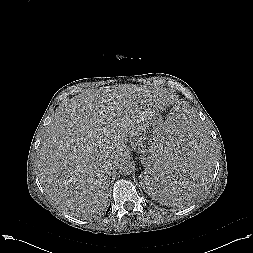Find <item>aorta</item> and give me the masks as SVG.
Instances as JSON below:
<instances>
[{"label":"aorta","mask_w":253,"mask_h":253,"mask_svg":"<svg viewBox=\"0 0 253 253\" xmlns=\"http://www.w3.org/2000/svg\"><path fill=\"white\" fill-rule=\"evenodd\" d=\"M119 173L121 175L127 176L130 175L135 170L134 162L130 159H123L121 160L120 164L118 165Z\"/></svg>","instance_id":"obj_1"}]
</instances>
